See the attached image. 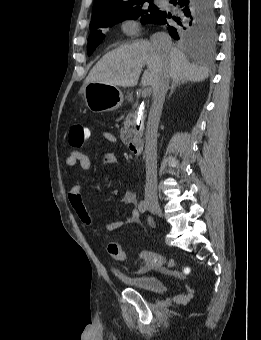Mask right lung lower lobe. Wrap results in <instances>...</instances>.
Instances as JSON below:
<instances>
[{"instance_id":"98d812e1","label":"right lung lower lobe","mask_w":261,"mask_h":340,"mask_svg":"<svg viewBox=\"0 0 261 340\" xmlns=\"http://www.w3.org/2000/svg\"><path fill=\"white\" fill-rule=\"evenodd\" d=\"M169 3L174 10L171 12L160 10L151 23L165 25L174 39H176V36L173 23L185 17L192 9L197 8L201 13H214L213 0H170Z\"/></svg>"}]
</instances>
